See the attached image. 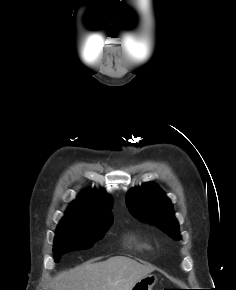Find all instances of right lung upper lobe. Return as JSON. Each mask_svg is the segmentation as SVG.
<instances>
[{
	"instance_id": "obj_1",
	"label": "right lung upper lobe",
	"mask_w": 236,
	"mask_h": 290,
	"mask_svg": "<svg viewBox=\"0 0 236 290\" xmlns=\"http://www.w3.org/2000/svg\"><path fill=\"white\" fill-rule=\"evenodd\" d=\"M112 200L106 194L84 193L73 201L64 219L86 221L98 218H112L110 209Z\"/></svg>"
}]
</instances>
